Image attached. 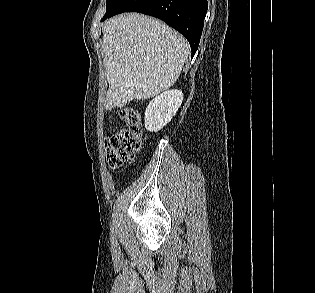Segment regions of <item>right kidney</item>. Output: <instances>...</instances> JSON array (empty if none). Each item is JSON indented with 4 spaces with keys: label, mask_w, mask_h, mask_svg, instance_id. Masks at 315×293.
Returning <instances> with one entry per match:
<instances>
[{
    "label": "right kidney",
    "mask_w": 315,
    "mask_h": 293,
    "mask_svg": "<svg viewBox=\"0 0 315 293\" xmlns=\"http://www.w3.org/2000/svg\"><path fill=\"white\" fill-rule=\"evenodd\" d=\"M183 101L180 90H168L155 97L145 111V128L150 132H158L171 121Z\"/></svg>",
    "instance_id": "1"
}]
</instances>
